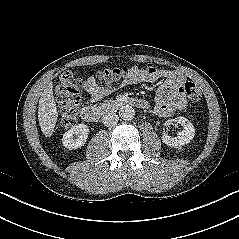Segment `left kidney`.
<instances>
[{
	"instance_id": "obj_1",
	"label": "left kidney",
	"mask_w": 239,
	"mask_h": 239,
	"mask_svg": "<svg viewBox=\"0 0 239 239\" xmlns=\"http://www.w3.org/2000/svg\"><path fill=\"white\" fill-rule=\"evenodd\" d=\"M173 122L181 124L183 129L177 134L176 137H171L168 134L163 133V143L170 147H180L189 143L195 136V128L193 124L185 117L180 116L175 119L167 120L165 122V126H168Z\"/></svg>"
}]
</instances>
